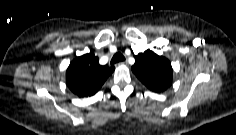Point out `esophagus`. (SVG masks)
Instances as JSON below:
<instances>
[{"instance_id":"34e87169","label":"esophagus","mask_w":236,"mask_h":135,"mask_svg":"<svg viewBox=\"0 0 236 135\" xmlns=\"http://www.w3.org/2000/svg\"><path fill=\"white\" fill-rule=\"evenodd\" d=\"M127 64V60L126 61H122L120 63H118V65H126Z\"/></svg>"}]
</instances>
